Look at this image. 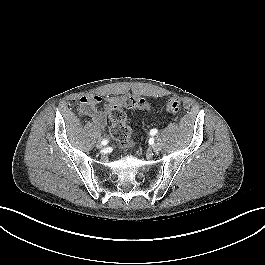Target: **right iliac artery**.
<instances>
[{
  "mask_svg": "<svg viewBox=\"0 0 265 265\" xmlns=\"http://www.w3.org/2000/svg\"><path fill=\"white\" fill-rule=\"evenodd\" d=\"M101 143H102L103 145H106V144H108V140L104 139Z\"/></svg>",
  "mask_w": 265,
  "mask_h": 265,
  "instance_id": "82829eb1",
  "label": "right iliac artery"
}]
</instances>
